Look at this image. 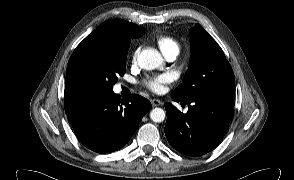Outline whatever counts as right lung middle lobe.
<instances>
[{
	"label": "right lung middle lobe",
	"mask_w": 294,
	"mask_h": 180,
	"mask_svg": "<svg viewBox=\"0 0 294 180\" xmlns=\"http://www.w3.org/2000/svg\"><path fill=\"white\" fill-rule=\"evenodd\" d=\"M129 45L119 40L80 43L67 65L65 97L113 91L125 73Z\"/></svg>",
	"instance_id": "obj_1"
}]
</instances>
